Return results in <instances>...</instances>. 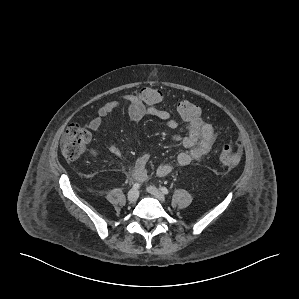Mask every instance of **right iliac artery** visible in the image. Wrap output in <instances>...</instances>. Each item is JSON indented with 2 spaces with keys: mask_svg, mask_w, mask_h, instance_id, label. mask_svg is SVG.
<instances>
[{
  "mask_svg": "<svg viewBox=\"0 0 299 299\" xmlns=\"http://www.w3.org/2000/svg\"><path fill=\"white\" fill-rule=\"evenodd\" d=\"M139 188H140V184H139V183H135V184L133 185V189L137 190V189H139Z\"/></svg>",
  "mask_w": 299,
  "mask_h": 299,
  "instance_id": "obj_1",
  "label": "right iliac artery"
}]
</instances>
